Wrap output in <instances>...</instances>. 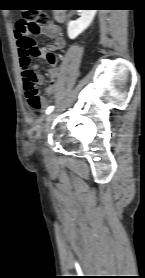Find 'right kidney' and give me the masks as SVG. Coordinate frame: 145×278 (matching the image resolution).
<instances>
[{
  "mask_svg": "<svg viewBox=\"0 0 145 278\" xmlns=\"http://www.w3.org/2000/svg\"><path fill=\"white\" fill-rule=\"evenodd\" d=\"M96 10H82L80 18L75 21H69L67 33L70 39H75L92 23Z\"/></svg>",
  "mask_w": 145,
  "mask_h": 278,
  "instance_id": "obj_1",
  "label": "right kidney"
}]
</instances>
